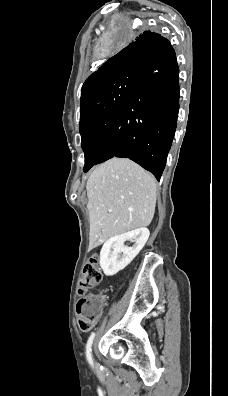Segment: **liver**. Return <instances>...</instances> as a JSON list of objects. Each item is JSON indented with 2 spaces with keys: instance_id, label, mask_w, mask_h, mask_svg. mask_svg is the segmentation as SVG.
Instances as JSON below:
<instances>
[{
  "instance_id": "liver-1",
  "label": "liver",
  "mask_w": 228,
  "mask_h": 396,
  "mask_svg": "<svg viewBox=\"0 0 228 396\" xmlns=\"http://www.w3.org/2000/svg\"><path fill=\"white\" fill-rule=\"evenodd\" d=\"M89 245L148 226L156 205V182L128 158H112L91 173L87 185Z\"/></svg>"
}]
</instances>
